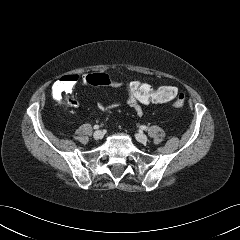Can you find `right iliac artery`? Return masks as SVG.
<instances>
[{"label":"right iliac artery","mask_w":240,"mask_h":240,"mask_svg":"<svg viewBox=\"0 0 240 240\" xmlns=\"http://www.w3.org/2000/svg\"><path fill=\"white\" fill-rule=\"evenodd\" d=\"M99 127H100L99 125H95L94 129H99Z\"/></svg>","instance_id":"82829eb1"}]
</instances>
